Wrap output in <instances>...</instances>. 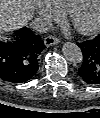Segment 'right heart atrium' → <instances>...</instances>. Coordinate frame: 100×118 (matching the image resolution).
<instances>
[{
    "label": "right heart atrium",
    "instance_id": "right-heart-atrium-1",
    "mask_svg": "<svg viewBox=\"0 0 100 118\" xmlns=\"http://www.w3.org/2000/svg\"><path fill=\"white\" fill-rule=\"evenodd\" d=\"M39 16L49 21H60L62 13L55 7L51 0H34Z\"/></svg>",
    "mask_w": 100,
    "mask_h": 118
}]
</instances>
